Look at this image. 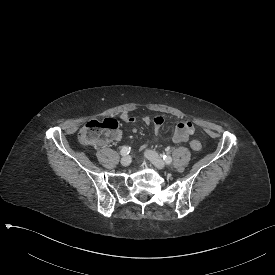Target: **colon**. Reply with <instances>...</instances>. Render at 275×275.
Masks as SVG:
<instances>
[{"label":"colon","mask_w":275,"mask_h":275,"mask_svg":"<svg viewBox=\"0 0 275 275\" xmlns=\"http://www.w3.org/2000/svg\"><path fill=\"white\" fill-rule=\"evenodd\" d=\"M121 136L122 131L118 123L114 119L107 118L86 122L78 134V140L84 146H97L102 143H112L115 140H119ZM190 146L195 151H199L202 148L199 140H192Z\"/></svg>","instance_id":"5ec220e1"}]
</instances>
